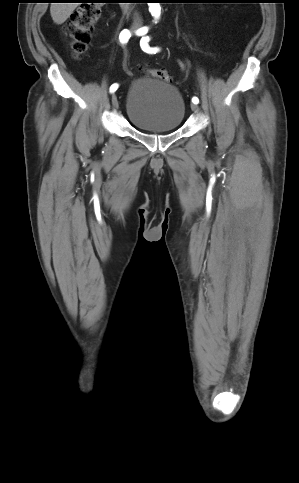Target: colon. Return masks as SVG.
I'll list each match as a JSON object with an SVG mask.
<instances>
[{
	"mask_svg": "<svg viewBox=\"0 0 299 483\" xmlns=\"http://www.w3.org/2000/svg\"><path fill=\"white\" fill-rule=\"evenodd\" d=\"M101 0L92 1L80 6L72 14L66 26V35L70 39L72 52L75 57L86 53L91 40L92 31L97 24L103 8ZM146 75L169 82L171 77L164 69L143 67Z\"/></svg>",
	"mask_w": 299,
	"mask_h": 483,
	"instance_id": "5ec220e1",
	"label": "colon"
}]
</instances>
